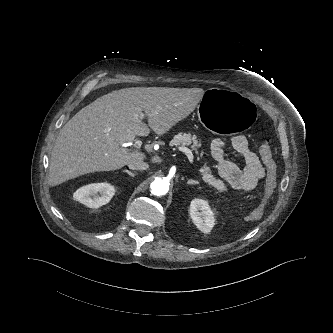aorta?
<instances>
[{"mask_svg":"<svg viewBox=\"0 0 333 333\" xmlns=\"http://www.w3.org/2000/svg\"><path fill=\"white\" fill-rule=\"evenodd\" d=\"M151 193L155 196L166 195L169 191V182L163 178H156L151 184Z\"/></svg>","mask_w":333,"mask_h":333,"instance_id":"obj_1","label":"aorta"}]
</instances>
